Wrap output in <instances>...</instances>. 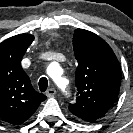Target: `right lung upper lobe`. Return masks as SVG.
<instances>
[{"label": "right lung upper lobe", "mask_w": 133, "mask_h": 133, "mask_svg": "<svg viewBox=\"0 0 133 133\" xmlns=\"http://www.w3.org/2000/svg\"><path fill=\"white\" fill-rule=\"evenodd\" d=\"M33 40V35L19 34L0 44V119L13 125L25 122L46 99L20 64Z\"/></svg>", "instance_id": "right-lung-upper-lobe-1"}]
</instances>
